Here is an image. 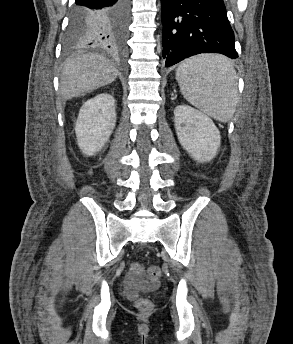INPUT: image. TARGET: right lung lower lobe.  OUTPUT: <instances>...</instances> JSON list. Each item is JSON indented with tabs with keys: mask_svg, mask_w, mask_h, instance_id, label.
<instances>
[{
	"mask_svg": "<svg viewBox=\"0 0 293 344\" xmlns=\"http://www.w3.org/2000/svg\"><path fill=\"white\" fill-rule=\"evenodd\" d=\"M74 11L84 12L89 23L86 44L121 50L127 35L130 0H76Z\"/></svg>",
	"mask_w": 293,
	"mask_h": 344,
	"instance_id": "obj_1",
	"label": "right lung lower lobe"
}]
</instances>
